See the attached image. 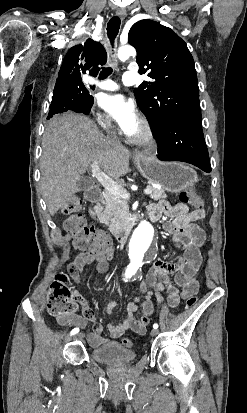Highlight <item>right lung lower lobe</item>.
<instances>
[{"label": "right lung lower lobe", "mask_w": 247, "mask_h": 413, "mask_svg": "<svg viewBox=\"0 0 247 413\" xmlns=\"http://www.w3.org/2000/svg\"><path fill=\"white\" fill-rule=\"evenodd\" d=\"M93 106V97L88 96H62L52 97L50 105V111L47 120L53 117L55 114H61L68 110L75 111L77 113L89 114L90 109Z\"/></svg>", "instance_id": "right-lung-lower-lobe-1"}]
</instances>
